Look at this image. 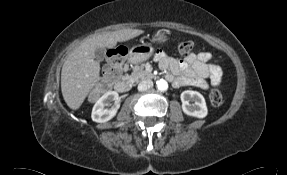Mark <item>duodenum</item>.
<instances>
[{"instance_id":"duodenum-1","label":"duodenum","mask_w":287,"mask_h":175,"mask_svg":"<svg viewBox=\"0 0 287 175\" xmlns=\"http://www.w3.org/2000/svg\"><path fill=\"white\" fill-rule=\"evenodd\" d=\"M112 73L113 72H108L105 74V78L107 79L108 82H112L111 81ZM166 79L169 80L168 75L166 76ZM116 81L117 82L115 83V87L119 92H128L132 86V81L128 77H125L119 80L117 79Z\"/></svg>"}]
</instances>
